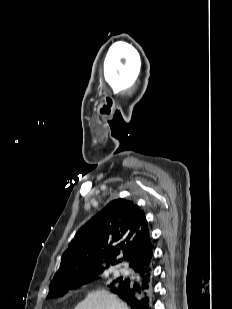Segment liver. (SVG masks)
I'll return each instance as SVG.
<instances>
[{"mask_svg": "<svg viewBox=\"0 0 232 309\" xmlns=\"http://www.w3.org/2000/svg\"><path fill=\"white\" fill-rule=\"evenodd\" d=\"M74 309H130L116 295L106 290L91 292Z\"/></svg>", "mask_w": 232, "mask_h": 309, "instance_id": "6515ba94", "label": "liver"}]
</instances>
